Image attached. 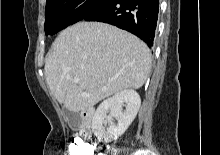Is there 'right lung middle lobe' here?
I'll return each instance as SVG.
<instances>
[{"label":"right lung middle lobe","instance_id":"dd1d6c3e","mask_svg":"<svg viewBox=\"0 0 220 155\" xmlns=\"http://www.w3.org/2000/svg\"><path fill=\"white\" fill-rule=\"evenodd\" d=\"M84 0H53L46 3L45 34L53 35L68 25L92 16L106 8L113 0H86L79 10L75 7Z\"/></svg>","mask_w":220,"mask_h":155}]
</instances>
